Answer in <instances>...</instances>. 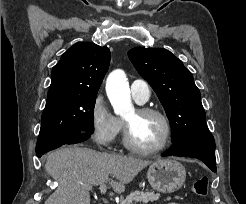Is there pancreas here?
<instances>
[{"instance_id": "obj_1", "label": "pancreas", "mask_w": 246, "mask_h": 204, "mask_svg": "<svg viewBox=\"0 0 246 204\" xmlns=\"http://www.w3.org/2000/svg\"><path fill=\"white\" fill-rule=\"evenodd\" d=\"M159 198H160L159 193L133 191L125 199H122L120 201V204H136V203L147 204L148 202L156 201Z\"/></svg>"}]
</instances>
